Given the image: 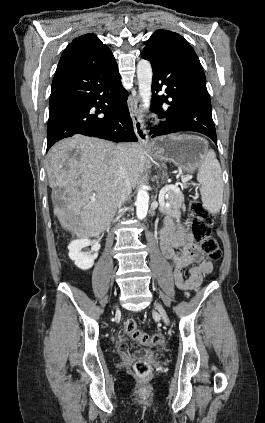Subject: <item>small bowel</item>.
<instances>
[{
  "label": "small bowel",
  "instance_id": "1",
  "mask_svg": "<svg viewBox=\"0 0 265 423\" xmlns=\"http://www.w3.org/2000/svg\"><path fill=\"white\" fill-rule=\"evenodd\" d=\"M158 235L162 253L171 263L176 286L189 295L191 290L200 287L204 275L211 272L212 264L204 259L190 232L183 225L175 223L172 218L166 217L163 220ZM194 263L196 264L189 269L188 278H185L184 269ZM117 348L124 359L132 358L125 342L124 331L118 334Z\"/></svg>",
  "mask_w": 265,
  "mask_h": 423
}]
</instances>
